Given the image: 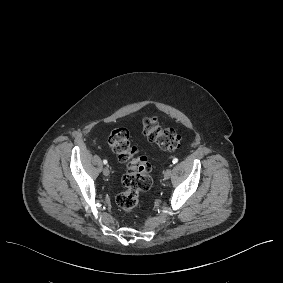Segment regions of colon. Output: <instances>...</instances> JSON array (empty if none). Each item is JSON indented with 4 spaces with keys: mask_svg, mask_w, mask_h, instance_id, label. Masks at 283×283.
I'll list each match as a JSON object with an SVG mask.
<instances>
[{
    "mask_svg": "<svg viewBox=\"0 0 283 283\" xmlns=\"http://www.w3.org/2000/svg\"><path fill=\"white\" fill-rule=\"evenodd\" d=\"M142 132L148 141L160 148L175 151L181 148V136L172 128L162 127L156 117H147L142 122ZM108 144L117 158L126 164L127 170L122 178L124 190L116 196V204L125 214H132L139 202L141 192L152 186L151 164L145 155L131 143L126 127L114 128L108 138Z\"/></svg>",
    "mask_w": 283,
    "mask_h": 283,
    "instance_id": "1",
    "label": "colon"
}]
</instances>
